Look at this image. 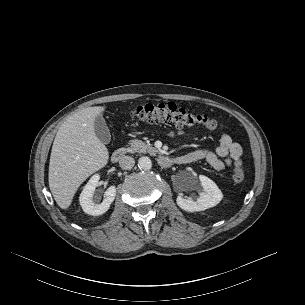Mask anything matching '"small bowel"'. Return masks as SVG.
I'll list each match as a JSON object with an SVG mask.
<instances>
[{
	"label": "small bowel",
	"instance_id": "obj_1",
	"mask_svg": "<svg viewBox=\"0 0 305 305\" xmlns=\"http://www.w3.org/2000/svg\"><path fill=\"white\" fill-rule=\"evenodd\" d=\"M182 129L171 130L167 136L182 135ZM243 150L238 142H235L230 135L224 133L221 135L219 144L215 150L205 148L197 149L176 157L177 164H188L204 160L215 170H224L228 168H237L242 165Z\"/></svg>",
	"mask_w": 305,
	"mask_h": 305
}]
</instances>
